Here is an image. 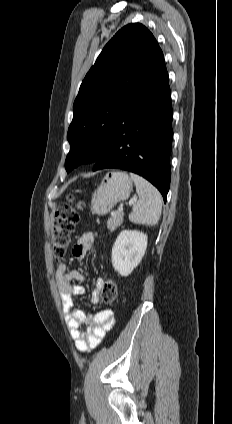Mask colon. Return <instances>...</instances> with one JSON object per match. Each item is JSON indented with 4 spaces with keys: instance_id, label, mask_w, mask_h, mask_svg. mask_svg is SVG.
Returning a JSON list of instances; mask_svg holds the SVG:
<instances>
[{
    "instance_id": "obj_1",
    "label": "colon",
    "mask_w": 232,
    "mask_h": 424,
    "mask_svg": "<svg viewBox=\"0 0 232 424\" xmlns=\"http://www.w3.org/2000/svg\"><path fill=\"white\" fill-rule=\"evenodd\" d=\"M82 206L81 202H76L74 196L69 194L67 201L62 203L57 209L52 231V256L56 262L63 260L66 255L76 224L79 221V211ZM117 296L118 287L116 282L112 279L105 280L100 289L99 298L104 303H112L117 299Z\"/></svg>"
}]
</instances>
